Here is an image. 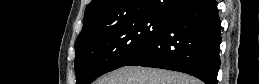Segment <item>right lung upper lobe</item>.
Instances as JSON below:
<instances>
[{
	"mask_svg": "<svg viewBox=\"0 0 260 84\" xmlns=\"http://www.w3.org/2000/svg\"><path fill=\"white\" fill-rule=\"evenodd\" d=\"M193 0H92L86 7L76 45L95 38L99 30L123 19L146 14L170 15Z\"/></svg>",
	"mask_w": 260,
	"mask_h": 84,
	"instance_id": "cb5924a9",
	"label": "right lung upper lobe"
}]
</instances>
